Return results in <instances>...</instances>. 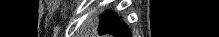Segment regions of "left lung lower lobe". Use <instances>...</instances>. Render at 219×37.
Returning a JSON list of instances; mask_svg holds the SVG:
<instances>
[{
	"instance_id": "0a47b994",
	"label": "left lung lower lobe",
	"mask_w": 219,
	"mask_h": 37,
	"mask_svg": "<svg viewBox=\"0 0 219 37\" xmlns=\"http://www.w3.org/2000/svg\"><path fill=\"white\" fill-rule=\"evenodd\" d=\"M106 33L116 37H131V32L128 26L123 22L121 18L118 19V16L114 24L110 27V29Z\"/></svg>"
}]
</instances>
